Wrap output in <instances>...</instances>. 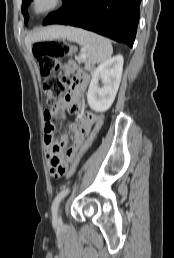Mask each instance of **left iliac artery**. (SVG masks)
I'll return each mask as SVG.
<instances>
[{"mask_svg": "<svg viewBox=\"0 0 174 258\" xmlns=\"http://www.w3.org/2000/svg\"><path fill=\"white\" fill-rule=\"evenodd\" d=\"M69 193L68 188L62 189L57 196L55 197L53 204H52V210L57 211L60 201Z\"/></svg>", "mask_w": 174, "mask_h": 258, "instance_id": "left-iliac-artery-1", "label": "left iliac artery"}]
</instances>
